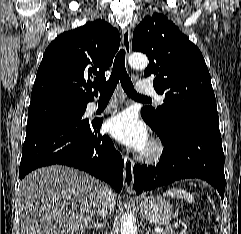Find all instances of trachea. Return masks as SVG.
Returning a JSON list of instances; mask_svg holds the SVG:
<instances>
[{
  "instance_id": "trachea-1",
  "label": "trachea",
  "mask_w": 241,
  "mask_h": 234,
  "mask_svg": "<svg viewBox=\"0 0 241 234\" xmlns=\"http://www.w3.org/2000/svg\"><path fill=\"white\" fill-rule=\"evenodd\" d=\"M119 81L129 97L138 100H150V98L141 96L135 91L125 68V51L123 49H121L115 57L112 73L108 81L101 84H95L94 88H97L100 91V96L110 97Z\"/></svg>"
}]
</instances>
